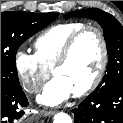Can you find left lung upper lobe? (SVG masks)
Wrapping results in <instances>:
<instances>
[{
  "instance_id": "5c2ea615",
  "label": "left lung upper lobe",
  "mask_w": 123,
  "mask_h": 123,
  "mask_svg": "<svg viewBox=\"0 0 123 123\" xmlns=\"http://www.w3.org/2000/svg\"><path fill=\"white\" fill-rule=\"evenodd\" d=\"M71 17H88L98 21L104 30L108 51L106 74L100 85L95 89L106 91L117 85H123V27L109 13L97 8L70 12L65 19Z\"/></svg>"
}]
</instances>
